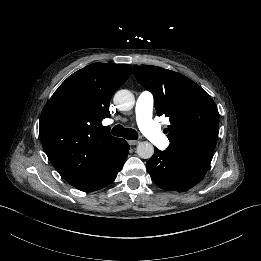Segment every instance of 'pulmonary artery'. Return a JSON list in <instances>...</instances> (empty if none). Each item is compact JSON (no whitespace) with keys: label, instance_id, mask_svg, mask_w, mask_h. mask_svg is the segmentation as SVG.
Listing matches in <instances>:
<instances>
[{"label":"pulmonary artery","instance_id":"1","mask_svg":"<svg viewBox=\"0 0 261 261\" xmlns=\"http://www.w3.org/2000/svg\"><path fill=\"white\" fill-rule=\"evenodd\" d=\"M154 108L153 95L147 91H142L136 101L135 114L136 122L140 130L151 139L161 150L170 148V140L160 131L161 127L155 125L152 120Z\"/></svg>","mask_w":261,"mask_h":261}]
</instances>
